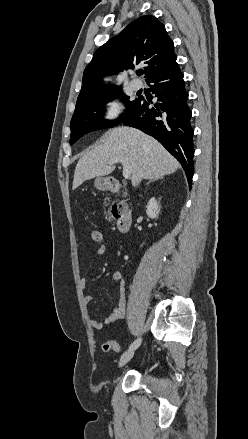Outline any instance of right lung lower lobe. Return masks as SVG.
<instances>
[{"instance_id":"right-lung-lower-lobe-1","label":"right lung lower lobe","mask_w":248,"mask_h":439,"mask_svg":"<svg viewBox=\"0 0 248 439\" xmlns=\"http://www.w3.org/2000/svg\"><path fill=\"white\" fill-rule=\"evenodd\" d=\"M157 103L138 97L136 104L121 120L156 138L182 165L191 188L193 177V129L191 110L183 74L178 65L157 73L147 80Z\"/></svg>"}]
</instances>
